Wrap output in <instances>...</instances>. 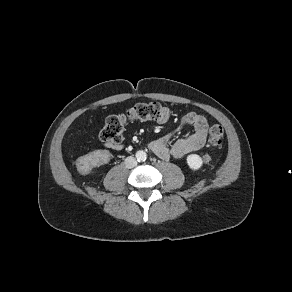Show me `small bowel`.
Masks as SVG:
<instances>
[{"label": "small bowel", "mask_w": 292, "mask_h": 292, "mask_svg": "<svg viewBox=\"0 0 292 292\" xmlns=\"http://www.w3.org/2000/svg\"><path fill=\"white\" fill-rule=\"evenodd\" d=\"M170 118V110L166 107L162 108V114L158 119L160 124L166 123ZM187 127L192 128V132L174 143L170 140L174 133L181 131ZM208 123L204 116L189 112L185 114L179 121L175 131L167 136L157 138L149 143V148L160 158H182L189 153L195 152L200 149L206 142ZM105 146L108 149L120 151L124 145L122 143L114 144L106 142Z\"/></svg>", "instance_id": "1"}]
</instances>
